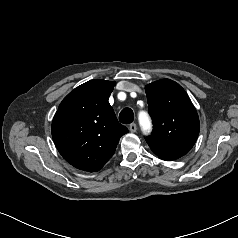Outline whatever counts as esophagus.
Instances as JSON below:
<instances>
[{
	"label": "esophagus",
	"instance_id": "obj_1",
	"mask_svg": "<svg viewBox=\"0 0 238 238\" xmlns=\"http://www.w3.org/2000/svg\"><path fill=\"white\" fill-rule=\"evenodd\" d=\"M129 130H130V132H136V130H137L136 124L135 123H131L129 125Z\"/></svg>",
	"mask_w": 238,
	"mask_h": 238
}]
</instances>
